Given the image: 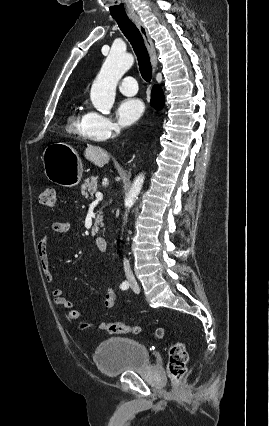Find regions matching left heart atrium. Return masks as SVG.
<instances>
[{"label": "left heart atrium", "instance_id": "left-heart-atrium-1", "mask_svg": "<svg viewBox=\"0 0 269 426\" xmlns=\"http://www.w3.org/2000/svg\"><path fill=\"white\" fill-rule=\"evenodd\" d=\"M144 105L137 98H128L123 100L117 108V120L122 127H128L134 124L142 116Z\"/></svg>", "mask_w": 269, "mask_h": 426}]
</instances>
